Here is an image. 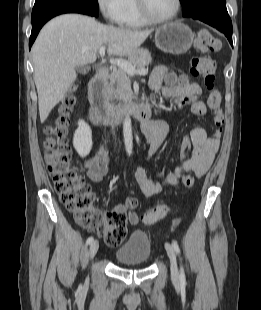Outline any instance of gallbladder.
<instances>
[{
	"label": "gallbladder",
	"mask_w": 261,
	"mask_h": 310,
	"mask_svg": "<svg viewBox=\"0 0 261 310\" xmlns=\"http://www.w3.org/2000/svg\"><path fill=\"white\" fill-rule=\"evenodd\" d=\"M78 71H80L81 73H83L85 70L82 67H78Z\"/></svg>",
	"instance_id": "gallbladder-1"
}]
</instances>
